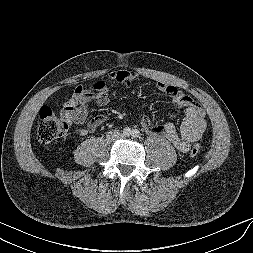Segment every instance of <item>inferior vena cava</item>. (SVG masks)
I'll return each instance as SVG.
<instances>
[{
    "instance_id": "inferior-vena-cava-1",
    "label": "inferior vena cava",
    "mask_w": 253,
    "mask_h": 253,
    "mask_svg": "<svg viewBox=\"0 0 253 253\" xmlns=\"http://www.w3.org/2000/svg\"><path fill=\"white\" fill-rule=\"evenodd\" d=\"M121 137H122V134L118 130H113L106 134V138L109 141H113V142L121 139Z\"/></svg>"
}]
</instances>
